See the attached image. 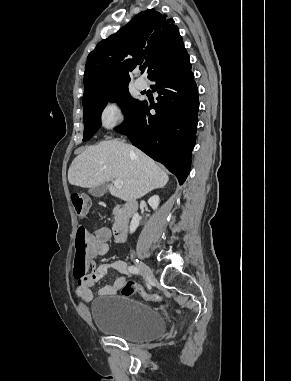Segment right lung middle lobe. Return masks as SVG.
Masks as SVG:
<instances>
[{
	"label": "right lung middle lobe",
	"mask_w": 291,
	"mask_h": 381,
	"mask_svg": "<svg viewBox=\"0 0 291 381\" xmlns=\"http://www.w3.org/2000/svg\"><path fill=\"white\" fill-rule=\"evenodd\" d=\"M108 101H121V106L126 118L131 116L141 103V101L130 97L128 86H123L109 90L98 98L83 104V141L89 140L101 126L100 116Z\"/></svg>",
	"instance_id": "dd1d6c3e"
}]
</instances>
